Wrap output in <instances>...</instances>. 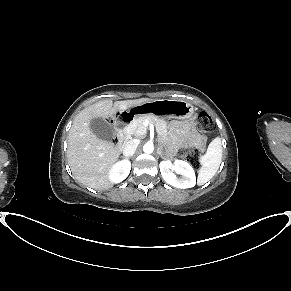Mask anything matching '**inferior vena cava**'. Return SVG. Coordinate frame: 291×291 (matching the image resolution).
<instances>
[{"instance_id":"602c4592","label":"inferior vena cava","mask_w":291,"mask_h":291,"mask_svg":"<svg viewBox=\"0 0 291 291\" xmlns=\"http://www.w3.org/2000/svg\"><path fill=\"white\" fill-rule=\"evenodd\" d=\"M138 144L139 142L137 140L128 141L123 148V155L126 157L133 156L138 147Z\"/></svg>"}]
</instances>
